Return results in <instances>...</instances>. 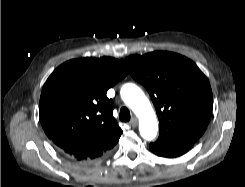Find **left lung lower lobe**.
Wrapping results in <instances>:
<instances>
[{
	"label": "left lung lower lobe",
	"instance_id": "obj_1",
	"mask_svg": "<svg viewBox=\"0 0 245 187\" xmlns=\"http://www.w3.org/2000/svg\"><path fill=\"white\" fill-rule=\"evenodd\" d=\"M197 138L159 139L150 144V149L158 156L173 158L186 153L196 142Z\"/></svg>",
	"mask_w": 245,
	"mask_h": 187
}]
</instances>
